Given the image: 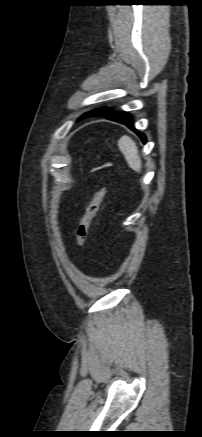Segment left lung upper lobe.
<instances>
[{"label": "left lung upper lobe", "instance_id": "1", "mask_svg": "<svg viewBox=\"0 0 202 437\" xmlns=\"http://www.w3.org/2000/svg\"><path fill=\"white\" fill-rule=\"evenodd\" d=\"M112 112L109 108H98L94 109L90 112L85 113L81 118H87V117H95V116H104L108 113Z\"/></svg>", "mask_w": 202, "mask_h": 437}]
</instances>
